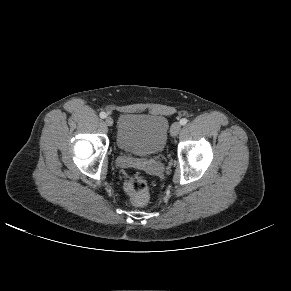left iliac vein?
<instances>
[{"label": "left iliac vein", "mask_w": 291, "mask_h": 291, "mask_svg": "<svg viewBox=\"0 0 291 291\" xmlns=\"http://www.w3.org/2000/svg\"><path fill=\"white\" fill-rule=\"evenodd\" d=\"M181 130V125L179 122H175L173 123L172 127H171V135L172 136H177L179 134Z\"/></svg>", "instance_id": "obj_1"}]
</instances>
